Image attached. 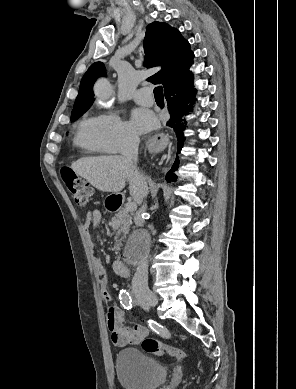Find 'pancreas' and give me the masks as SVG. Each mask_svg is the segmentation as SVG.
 I'll return each instance as SVG.
<instances>
[{"instance_id": "obj_1", "label": "pancreas", "mask_w": 296, "mask_h": 389, "mask_svg": "<svg viewBox=\"0 0 296 389\" xmlns=\"http://www.w3.org/2000/svg\"><path fill=\"white\" fill-rule=\"evenodd\" d=\"M131 224L132 217L129 214V211H127L125 208H121L109 223L113 231L116 233L117 238L119 236H121V238L126 237V235L129 233Z\"/></svg>"}]
</instances>
